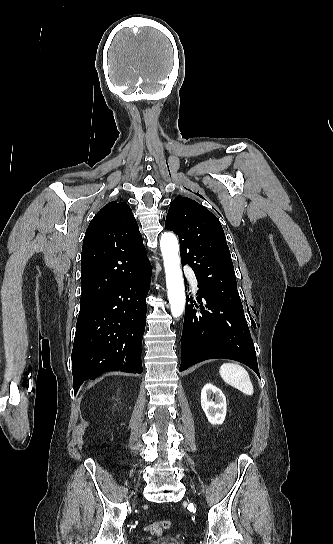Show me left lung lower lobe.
I'll use <instances>...</instances> for the list:
<instances>
[{
  "label": "left lung lower lobe",
  "mask_w": 333,
  "mask_h": 544,
  "mask_svg": "<svg viewBox=\"0 0 333 544\" xmlns=\"http://www.w3.org/2000/svg\"><path fill=\"white\" fill-rule=\"evenodd\" d=\"M198 288L199 306L192 297H186L179 371L207 359L226 358L247 365L260 377L244 313L217 299L199 284Z\"/></svg>",
  "instance_id": "0a47b994"
}]
</instances>
